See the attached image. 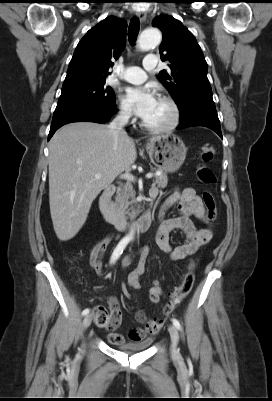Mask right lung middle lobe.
Listing matches in <instances>:
<instances>
[{
  "instance_id": "right-lung-middle-lobe-1",
  "label": "right lung middle lobe",
  "mask_w": 272,
  "mask_h": 401,
  "mask_svg": "<svg viewBox=\"0 0 272 401\" xmlns=\"http://www.w3.org/2000/svg\"><path fill=\"white\" fill-rule=\"evenodd\" d=\"M106 80L62 90L53 117L81 109L108 111L115 107V94Z\"/></svg>"
}]
</instances>
